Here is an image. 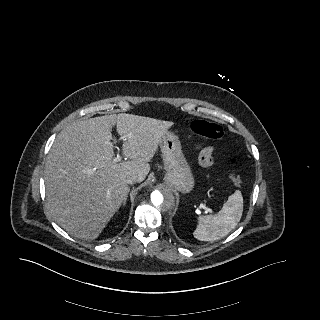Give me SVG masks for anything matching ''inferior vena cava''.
Segmentation results:
<instances>
[{
  "label": "inferior vena cava",
  "mask_w": 320,
  "mask_h": 320,
  "mask_svg": "<svg viewBox=\"0 0 320 320\" xmlns=\"http://www.w3.org/2000/svg\"><path fill=\"white\" fill-rule=\"evenodd\" d=\"M126 182L128 184H133V183L137 182V178H136V176H130L127 178Z\"/></svg>",
  "instance_id": "obj_1"
}]
</instances>
